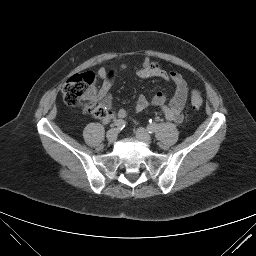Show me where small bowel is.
I'll list each match as a JSON object with an SVG mask.
<instances>
[{"mask_svg":"<svg viewBox=\"0 0 256 256\" xmlns=\"http://www.w3.org/2000/svg\"><path fill=\"white\" fill-rule=\"evenodd\" d=\"M124 66H122V69ZM98 75L102 80V85L94 100L101 102L105 108L106 114L103 117L105 122L114 118H125L127 111L125 109H114V103L110 94L116 72L101 67ZM137 76L141 79L160 78L173 83L175 92L172 98L167 102V97L162 92L155 93L151 98L141 94L138 96L135 111L142 112L149 106L158 107L165 118L169 121L181 123L183 121V109L189 93V88L184 77L176 71H167L160 63L152 61L148 55L143 58L142 66L137 70Z\"/></svg>","mask_w":256,"mask_h":256,"instance_id":"c3829d8e","label":"small bowel"}]
</instances>
